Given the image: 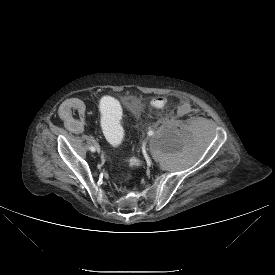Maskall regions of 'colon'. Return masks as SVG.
Segmentation results:
<instances>
[{
	"label": "colon",
	"instance_id": "1",
	"mask_svg": "<svg viewBox=\"0 0 275 275\" xmlns=\"http://www.w3.org/2000/svg\"><path fill=\"white\" fill-rule=\"evenodd\" d=\"M167 100L165 97H155L151 101L154 108H162ZM99 108L104 116L102 126L108 142L117 145L122 140V127L119 120L120 106L112 95L106 94L100 98Z\"/></svg>",
	"mask_w": 275,
	"mask_h": 275
}]
</instances>
